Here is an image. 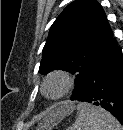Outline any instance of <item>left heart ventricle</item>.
<instances>
[{
  "instance_id": "left-heart-ventricle-1",
  "label": "left heart ventricle",
  "mask_w": 123,
  "mask_h": 130,
  "mask_svg": "<svg viewBox=\"0 0 123 130\" xmlns=\"http://www.w3.org/2000/svg\"><path fill=\"white\" fill-rule=\"evenodd\" d=\"M59 88H60V83L58 81H52L51 83L48 84L47 91L49 93H55L59 90Z\"/></svg>"
}]
</instances>
